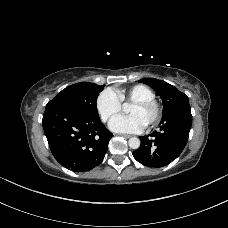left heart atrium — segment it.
<instances>
[{
  "instance_id": "1",
  "label": "left heart atrium",
  "mask_w": 228,
  "mask_h": 228,
  "mask_svg": "<svg viewBox=\"0 0 228 228\" xmlns=\"http://www.w3.org/2000/svg\"><path fill=\"white\" fill-rule=\"evenodd\" d=\"M145 126L137 115H119L109 122V128L117 133H139L144 130Z\"/></svg>"
}]
</instances>
